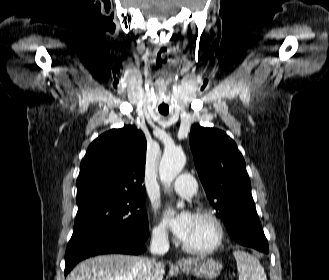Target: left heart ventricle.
<instances>
[{
  "label": "left heart ventricle",
  "mask_w": 329,
  "mask_h": 280,
  "mask_svg": "<svg viewBox=\"0 0 329 280\" xmlns=\"http://www.w3.org/2000/svg\"><path fill=\"white\" fill-rule=\"evenodd\" d=\"M214 237L215 232L212 225L204 218L195 215L189 234L183 242L189 246L200 248L210 245Z\"/></svg>",
  "instance_id": "obj_1"
}]
</instances>
